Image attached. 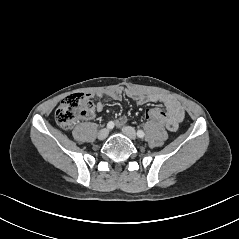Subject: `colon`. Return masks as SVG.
Masks as SVG:
<instances>
[{
  "label": "colon",
  "instance_id": "colon-1",
  "mask_svg": "<svg viewBox=\"0 0 239 239\" xmlns=\"http://www.w3.org/2000/svg\"><path fill=\"white\" fill-rule=\"evenodd\" d=\"M93 103L89 94L74 93L64 98L55 111V120L64 130H69L82 116L91 113ZM147 118L159 122L165 120V111L159 106L147 110Z\"/></svg>",
  "mask_w": 239,
  "mask_h": 239
}]
</instances>
